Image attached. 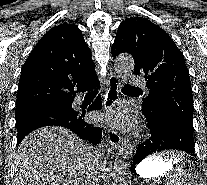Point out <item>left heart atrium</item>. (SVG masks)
Instances as JSON below:
<instances>
[{
  "instance_id": "left-heart-atrium-1",
  "label": "left heart atrium",
  "mask_w": 207,
  "mask_h": 185,
  "mask_svg": "<svg viewBox=\"0 0 207 185\" xmlns=\"http://www.w3.org/2000/svg\"><path fill=\"white\" fill-rule=\"evenodd\" d=\"M106 117L116 127L122 129H131L134 127V123L128 114V108L126 106H120L109 111Z\"/></svg>"
}]
</instances>
